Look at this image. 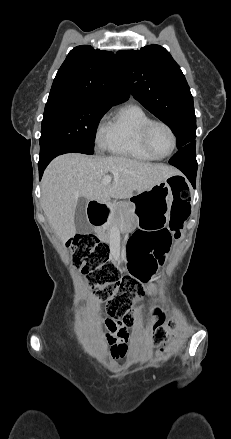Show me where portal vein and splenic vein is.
<instances>
[{
  "mask_svg": "<svg viewBox=\"0 0 231 439\" xmlns=\"http://www.w3.org/2000/svg\"><path fill=\"white\" fill-rule=\"evenodd\" d=\"M115 175H117V174H115ZM110 182H111V177H110V176H105V177L102 179L101 184L106 185V184H108V183H110Z\"/></svg>",
  "mask_w": 231,
  "mask_h": 439,
  "instance_id": "obj_1",
  "label": "portal vein and splenic vein"
}]
</instances>
